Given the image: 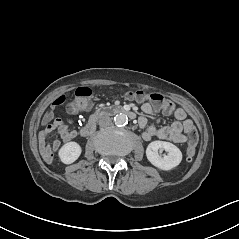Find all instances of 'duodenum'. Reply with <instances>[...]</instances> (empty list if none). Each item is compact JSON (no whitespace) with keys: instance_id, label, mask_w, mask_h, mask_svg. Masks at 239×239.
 Returning a JSON list of instances; mask_svg holds the SVG:
<instances>
[{"instance_id":"1","label":"duodenum","mask_w":239,"mask_h":239,"mask_svg":"<svg viewBox=\"0 0 239 239\" xmlns=\"http://www.w3.org/2000/svg\"><path fill=\"white\" fill-rule=\"evenodd\" d=\"M115 114H125L129 118L134 119L136 117L135 113L129 109H126L120 105L106 106L97 109L89 118L88 122L84 125L81 130L83 136L91 135L96 127V122L98 119L104 116L115 115Z\"/></svg>"}]
</instances>
